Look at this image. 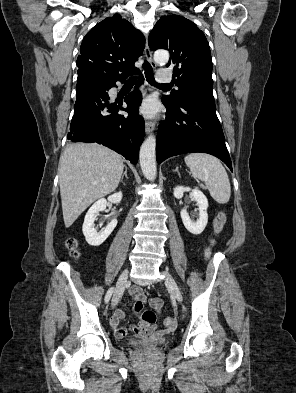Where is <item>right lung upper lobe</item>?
<instances>
[{
	"instance_id": "cb5924a9",
	"label": "right lung upper lobe",
	"mask_w": 296,
	"mask_h": 393,
	"mask_svg": "<svg viewBox=\"0 0 296 393\" xmlns=\"http://www.w3.org/2000/svg\"><path fill=\"white\" fill-rule=\"evenodd\" d=\"M145 39L139 30L119 14L108 17L84 37L77 58L78 72L88 71L108 83L126 79L137 68Z\"/></svg>"
}]
</instances>
